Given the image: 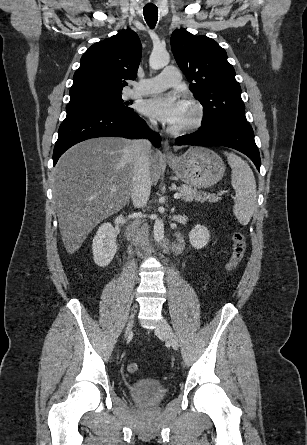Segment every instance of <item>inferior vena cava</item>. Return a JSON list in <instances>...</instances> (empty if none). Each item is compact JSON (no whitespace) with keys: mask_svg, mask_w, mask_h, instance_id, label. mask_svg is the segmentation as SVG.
Returning <instances> with one entry per match:
<instances>
[{"mask_svg":"<svg viewBox=\"0 0 307 445\" xmlns=\"http://www.w3.org/2000/svg\"><path fill=\"white\" fill-rule=\"evenodd\" d=\"M152 124H157L156 120H152ZM134 158V174H133V188L131 198L134 206H145L150 196L151 178L149 170V152L151 144L145 138H138L132 140L130 146Z\"/></svg>","mask_w":307,"mask_h":445,"instance_id":"inferior-vena-cava-1","label":"inferior vena cava"}]
</instances>
